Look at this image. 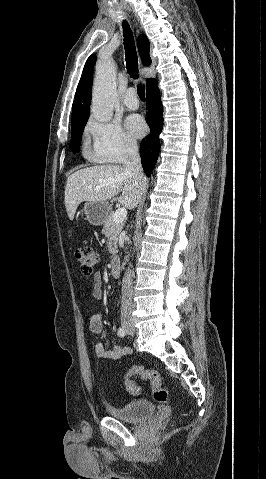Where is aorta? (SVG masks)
<instances>
[{
    "label": "aorta",
    "mask_w": 266,
    "mask_h": 479,
    "mask_svg": "<svg viewBox=\"0 0 266 479\" xmlns=\"http://www.w3.org/2000/svg\"><path fill=\"white\" fill-rule=\"evenodd\" d=\"M115 71V65L111 61H102L96 69L91 113L101 122L111 120L114 106L118 101Z\"/></svg>",
    "instance_id": "1"
}]
</instances>
